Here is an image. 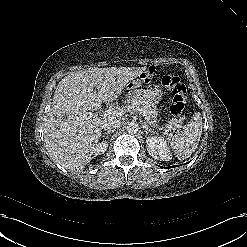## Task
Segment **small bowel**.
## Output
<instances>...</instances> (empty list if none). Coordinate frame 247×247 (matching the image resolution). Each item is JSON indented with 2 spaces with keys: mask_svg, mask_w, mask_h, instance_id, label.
Wrapping results in <instances>:
<instances>
[{
  "mask_svg": "<svg viewBox=\"0 0 247 247\" xmlns=\"http://www.w3.org/2000/svg\"><path fill=\"white\" fill-rule=\"evenodd\" d=\"M154 75V70L153 68H150L144 75H143V80L144 82L151 81Z\"/></svg>",
  "mask_w": 247,
  "mask_h": 247,
  "instance_id": "c3829d8e",
  "label": "small bowel"
}]
</instances>
